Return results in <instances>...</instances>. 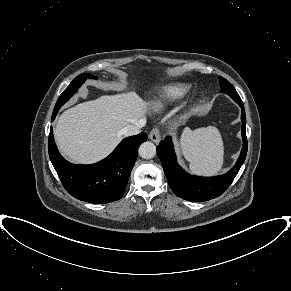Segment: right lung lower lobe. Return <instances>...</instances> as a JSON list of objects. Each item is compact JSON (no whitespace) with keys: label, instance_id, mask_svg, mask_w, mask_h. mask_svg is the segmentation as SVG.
Wrapping results in <instances>:
<instances>
[{"label":"right lung lower lobe","instance_id":"1","mask_svg":"<svg viewBox=\"0 0 291 291\" xmlns=\"http://www.w3.org/2000/svg\"><path fill=\"white\" fill-rule=\"evenodd\" d=\"M54 119L55 117H52V121ZM146 140V133L125 138L100 162L76 165L69 163L60 155L51 128L48 152L62 185L70 195L89 203L105 204L119 200L123 196L137 158L138 147Z\"/></svg>","mask_w":291,"mask_h":291}]
</instances>
